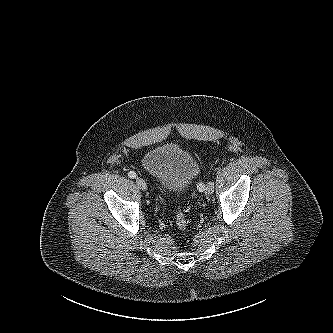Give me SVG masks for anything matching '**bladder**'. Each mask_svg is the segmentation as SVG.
Instances as JSON below:
<instances>
[{
  "label": "bladder",
  "mask_w": 333,
  "mask_h": 333,
  "mask_svg": "<svg viewBox=\"0 0 333 333\" xmlns=\"http://www.w3.org/2000/svg\"><path fill=\"white\" fill-rule=\"evenodd\" d=\"M144 170L163 191H186L199 171V162L188 150L177 145H164L147 152L142 159Z\"/></svg>",
  "instance_id": "31cf9c89"
}]
</instances>
